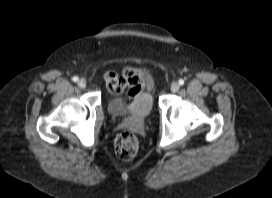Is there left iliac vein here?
Wrapping results in <instances>:
<instances>
[{"label":"left iliac vein","mask_w":272,"mask_h":198,"mask_svg":"<svg viewBox=\"0 0 272 198\" xmlns=\"http://www.w3.org/2000/svg\"><path fill=\"white\" fill-rule=\"evenodd\" d=\"M180 86L177 82H173L170 86V89L172 92H177L179 90Z\"/></svg>","instance_id":"obj_1"}]
</instances>
